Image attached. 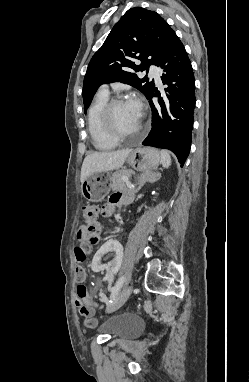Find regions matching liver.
I'll return each instance as SVG.
<instances>
[{
	"mask_svg": "<svg viewBox=\"0 0 249 382\" xmlns=\"http://www.w3.org/2000/svg\"><path fill=\"white\" fill-rule=\"evenodd\" d=\"M130 152L131 149H122L113 152H93L88 154L81 167V183L93 173L119 169L123 166Z\"/></svg>",
	"mask_w": 249,
	"mask_h": 382,
	"instance_id": "liver-1",
	"label": "liver"
}]
</instances>
